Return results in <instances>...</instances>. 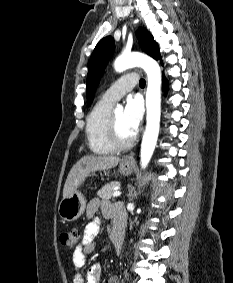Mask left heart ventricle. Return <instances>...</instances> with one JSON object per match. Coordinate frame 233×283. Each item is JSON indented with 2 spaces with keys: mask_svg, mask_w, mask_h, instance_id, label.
<instances>
[{
  "mask_svg": "<svg viewBox=\"0 0 233 283\" xmlns=\"http://www.w3.org/2000/svg\"><path fill=\"white\" fill-rule=\"evenodd\" d=\"M115 119H116V126H117V134L121 141L128 140L133 133L129 130L126 125L125 118H124V111L118 110L114 112Z\"/></svg>",
  "mask_w": 233,
  "mask_h": 283,
  "instance_id": "obj_1",
  "label": "left heart ventricle"
}]
</instances>
